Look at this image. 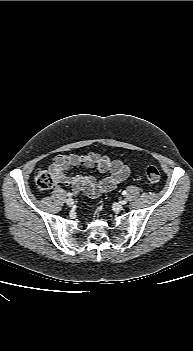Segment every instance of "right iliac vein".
Segmentation results:
<instances>
[{
	"label": "right iliac vein",
	"instance_id": "1",
	"mask_svg": "<svg viewBox=\"0 0 193 351\" xmlns=\"http://www.w3.org/2000/svg\"><path fill=\"white\" fill-rule=\"evenodd\" d=\"M66 204H67L68 206H72V205L74 204V200H73L72 198H68V199L66 200Z\"/></svg>",
	"mask_w": 193,
	"mask_h": 351
}]
</instances>
